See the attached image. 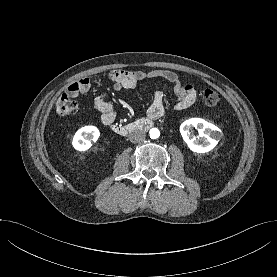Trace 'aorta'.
Here are the masks:
<instances>
[{
	"mask_svg": "<svg viewBox=\"0 0 277 277\" xmlns=\"http://www.w3.org/2000/svg\"><path fill=\"white\" fill-rule=\"evenodd\" d=\"M149 134L151 139H157L160 136V131L157 128H152Z\"/></svg>",
	"mask_w": 277,
	"mask_h": 277,
	"instance_id": "obj_1",
	"label": "aorta"
}]
</instances>
